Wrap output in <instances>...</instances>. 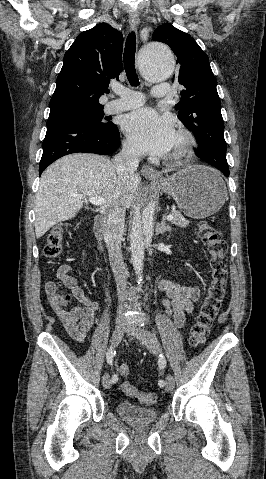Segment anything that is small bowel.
Wrapping results in <instances>:
<instances>
[{
  "label": "small bowel",
  "mask_w": 266,
  "mask_h": 479,
  "mask_svg": "<svg viewBox=\"0 0 266 479\" xmlns=\"http://www.w3.org/2000/svg\"><path fill=\"white\" fill-rule=\"evenodd\" d=\"M59 277L70 293L61 291L58 283L49 282L45 286L48 304L70 336L76 341L83 342L94 324L99 304L85 295L76 279L67 274L66 270L61 271ZM160 289L166 295L163 299L166 313L173 318L177 327H183L187 315L193 310L194 302L199 299V289L195 286L181 285L169 279L160 283ZM72 300L77 301L78 304L68 307Z\"/></svg>",
  "instance_id": "obj_1"
}]
</instances>
